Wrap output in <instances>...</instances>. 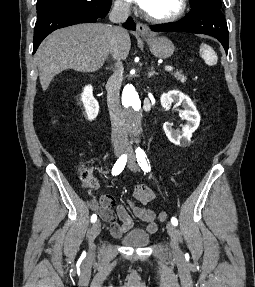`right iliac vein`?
Listing matches in <instances>:
<instances>
[{
	"instance_id": "obj_1",
	"label": "right iliac vein",
	"mask_w": 255,
	"mask_h": 287,
	"mask_svg": "<svg viewBox=\"0 0 255 287\" xmlns=\"http://www.w3.org/2000/svg\"><path fill=\"white\" fill-rule=\"evenodd\" d=\"M124 152V149L122 147H117L115 148L114 150V154L116 157H119L121 156V154ZM100 230H101V223L100 221H96L91 229H90V235H89V247H90V258H93L94 256V240L95 238L99 235L100 233Z\"/></svg>"
}]
</instances>
